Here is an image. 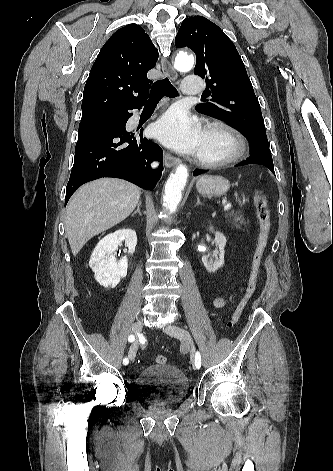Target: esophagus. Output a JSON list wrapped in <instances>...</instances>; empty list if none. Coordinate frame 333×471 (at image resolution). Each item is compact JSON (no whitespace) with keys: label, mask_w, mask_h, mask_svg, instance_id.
Returning <instances> with one entry per match:
<instances>
[{"label":"esophagus","mask_w":333,"mask_h":471,"mask_svg":"<svg viewBox=\"0 0 333 471\" xmlns=\"http://www.w3.org/2000/svg\"><path fill=\"white\" fill-rule=\"evenodd\" d=\"M161 67L163 73L168 76L172 80L177 79V72L173 68V66L170 64V62L167 59H162L161 60ZM164 162L167 167H173L176 166L180 163V159L177 157H174L168 153H165L164 155Z\"/></svg>","instance_id":"34e87169"}]
</instances>
